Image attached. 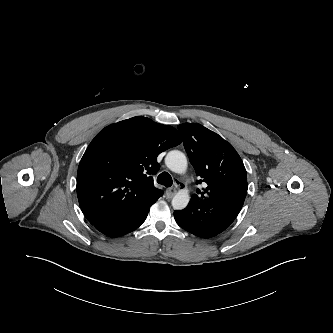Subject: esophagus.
Wrapping results in <instances>:
<instances>
[{
    "label": "esophagus",
    "mask_w": 333,
    "mask_h": 333,
    "mask_svg": "<svg viewBox=\"0 0 333 333\" xmlns=\"http://www.w3.org/2000/svg\"><path fill=\"white\" fill-rule=\"evenodd\" d=\"M178 186H179L178 184H175L174 187L167 189L166 195L168 198H172L176 194Z\"/></svg>",
    "instance_id": "esophagus-1"
}]
</instances>
